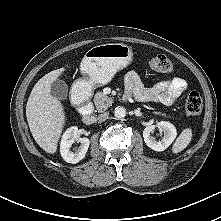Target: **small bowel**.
<instances>
[{
    "instance_id": "1",
    "label": "small bowel",
    "mask_w": 221,
    "mask_h": 221,
    "mask_svg": "<svg viewBox=\"0 0 221 221\" xmlns=\"http://www.w3.org/2000/svg\"><path fill=\"white\" fill-rule=\"evenodd\" d=\"M128 93L141 102L162 103L170 106L186 90L187 83L183 78L165 79L154 86L145 87L136 72H129L125 76Z\"/></svg>"
}]
</instances>
